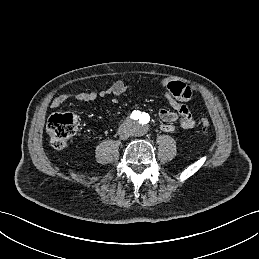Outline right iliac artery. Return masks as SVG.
I'll use <instances>...</instances> for the list:
<instances>
[{"instance_id":"1","label":"right iliac artery","mask_w":259,"mask_h":259,"mask_svg":"<svg viewBox=\"0 0 259 259\" xmlns=\"http://www.w3.org/2000/svg\"><path fill=\"white\" fill-rule=\"evenodd\" d=\"M139 114H140V113H139L138 111H133L131 117H132V118H135V117L137 118V117H139Z\"/></svg>"}]
</instances>
